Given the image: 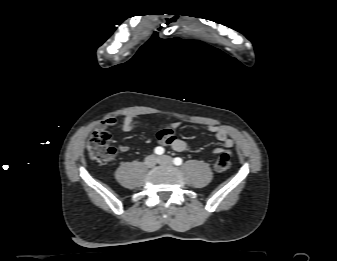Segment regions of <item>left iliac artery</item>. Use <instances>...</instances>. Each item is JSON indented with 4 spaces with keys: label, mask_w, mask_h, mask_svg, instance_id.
Instances as JSON below:
<instances>
[{
    "label": "left iliac artery",
    "mask_w": 337,
    "mask_h": 261,
    "mask_svg": "<svg viewBox=\"0 0 337 261\" xmlns=\"http://www.w3.org/2000/svg\"><path fill=\"white\" fill-rule=\"evenodd\" d=\"M173 162L175 165L179 166L182 164L183 160L180 157H176L174 158Z\"/></svg>",
    "instance_id": "44dca946"
}]
</instances>
